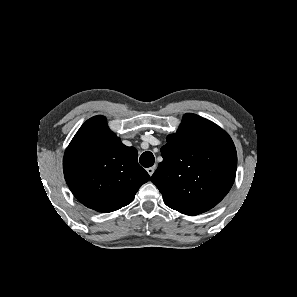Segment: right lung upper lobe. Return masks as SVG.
<instances>
[{"label":"right lung upper lobe","mask_w":297,"mask_h":297,"mask_svg":"<svg viewBox=\"0 0 297 297\" xmlns=\"http://www.w3.org/2000/svg\"><path fill=\"white\" fill-rule=\"evenodd\" d=\"M137 150L121 143L104 116H94L67 147L63 169L73 195L86 207L108 213L128 205L149 180Z\"/></svg>","instance_id":"cb5924a9"}]
</instances>
